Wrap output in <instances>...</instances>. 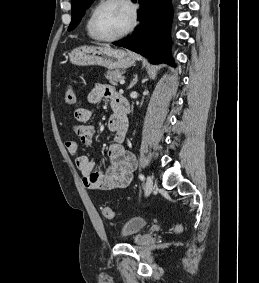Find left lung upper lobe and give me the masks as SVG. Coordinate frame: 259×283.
Segmentation results:
<instances>
[{
    "label": "left lung upper lobe",
    "mask_w": 259,
    "mask_h": 283,
    "mask_svg": "<svg viewBox=\"0 0 259 283\" xmlns=\"http://www.w3.org/2000/svg\"><path fill=\"white\" fill-rule=\"evenodd\" d=\"M93 0H72V20L68 30L74 29Z\"/></svg>",
    "instance_id": "1"
}]
</instances>
